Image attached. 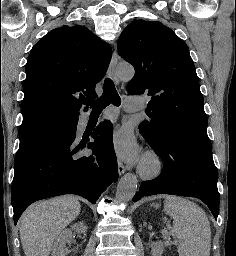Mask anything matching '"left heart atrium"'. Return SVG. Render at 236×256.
<instances>
[{"mask_svg": "<svg viewBox=\"0 0 236 256\" xmlns=\"http://www.w3.org/2000/svg\"><path fill=\"white\" fill-rule=\"evenodd\" d=\"M112 146L122 160L134 161L139 157V145L129 128H121L113 135Z\"/></svg>", "mask_w": 236, "mask_h": 256, "instance_id": "left-heart-atrium-1", "label": "left heart atrium"}]
</instances>
